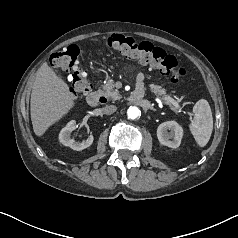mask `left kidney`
<instances>
[{"label": "left kidney", "mask_w": 238, "mask_h": 238, "mask_svg": "<svg viewBox=\"0 0 238 238\" xmlns=\"http://www.w3.org/2000/svg\"><path fill=\"white\" fill-rule=\"evenodd\" d=\"M170 130V132H168ZM183 136V129L176 121H167L158 126L157 137L161 144L178 148Z\"/></svg>", "instance_id": "obj_1"}]
</instances>
